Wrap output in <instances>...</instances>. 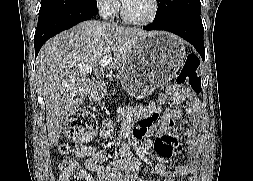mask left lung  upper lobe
<instances>
[{"label": "left lung upper lobe", "mask_w": 253, "mask_h": 181, "mask_svg": "<svg viewBox=\"0 0 253 181\" xmlns=\"http://www.w3.org/2000/svg\"><path fill=\"white\" fill-rule=\"evenodd\" d=\"M200 0H158L154 21L160 22L178 16H199Z\"/></svg>", "instance_id": "obj_1"}]
</instances>
